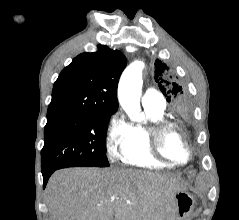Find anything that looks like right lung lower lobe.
Returning a JSON list of instances; mask_svg holds the SVG:
<instances>
[{"label":"right lung lower lobe","mask_w":239,"mask_h":220,"mask_svg":"<svg viewBox=\"0 0 239 220\" xmlns=\"http://www.w3.org/2000/svg\"><path fill=\"white\" fill-rule=\"evenodd\" d=\"M52 173L53 172H50V173H47V174H43V187L46 186L47 181H48V179H49V177L51 176Z\"/></svg>","instance_id":"1"}]
</instances>
